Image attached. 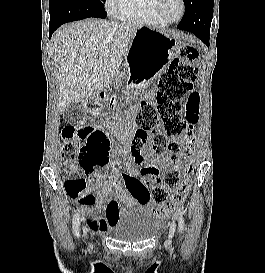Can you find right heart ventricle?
Instances as JSON below:
<instances>
[{"label":"right heart ventricle","instance_id":"e07e8e85","mask_svg":"<svg viewBox=\"0 0 265 273\" xmlns=\"http://www.w3.org/2000/svg\"><path fill=\"white\" fill-rule=\"evenodd\" d=\"M116 16L121 20L154 27L167 26L156 13L155 0H122Z\"/></svg>","mask_w":265,"mask_h":273}]
</instances>
